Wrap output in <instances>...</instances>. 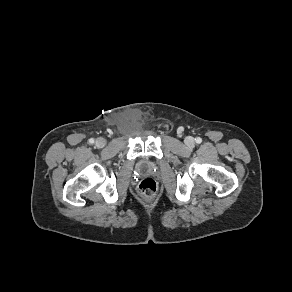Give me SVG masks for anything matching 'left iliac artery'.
I'll return each mask as SVG.
<instances>
[{
	"label": "left iliac artery",
	"instance_id": "44dca946",
	"mask_svg": "<svg viewBox=\"0 0 292 292\" xmlns=\"http://www.w3.org/2000/svg\"><path fill=\"white\" fill-rule=\"evenodd\" d=\"M196 143L200 144L202 142V139L200 137H197L196 139Z\"/></svg>",
	"mask_w": 292,
	"mask_h": 292
}]
</instances>
